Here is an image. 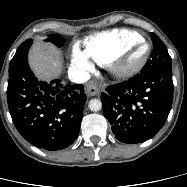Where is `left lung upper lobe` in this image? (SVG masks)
<instances>
[{"label":"left lung upper lobe","mask_w":187,"mask_h":187,"mask_svg":"<svg viewBox=\"0 0 187 187\" xmlns=\"http://www.w3.org/2000/svg\"><path fill=\"white\" fill-rule=\"evenodd\" d=\"M153 41V51L150 59L147 61L141 72H149L162 69H171L172 62L171 57L167 51L165 44L154 33H151Z\"/></svg>","instance_id":"1"}]
</instances>
